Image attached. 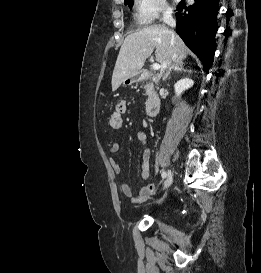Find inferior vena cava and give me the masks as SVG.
Here are the masks:
<instances>
[{
	"label": "inferior vena cava",
	"mask_w": 261,
	"mask_h": 273,
	"mask_svg": "<svg viewBox=\"0 0 261 273\" xmlns=\"http://www.w3.org/2000/svg\"><path fill=\"white\" fill-rule=\"evenodd\" d=\"M163 22L165 24H167L168 26L174 28L176 26V20L173 18L172 16V10L171 9H167L163 15ZM171 66V61L168 62L167 67H169V69L172 67Z\"/></svg>",
	"instance_id": "obj_1"
}]
</instances>
